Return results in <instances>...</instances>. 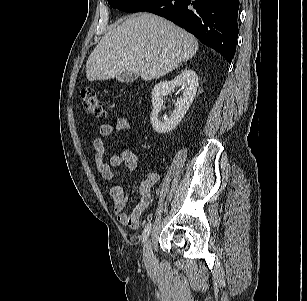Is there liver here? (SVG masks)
I'll list each match as a JSON object with an SVG mask.
<instances>
[{"label":"liver","instance_id":"1","mask_svg":"<svg viewBox=\"0 0 307 301\" xmlns=\"http://www.w3.org/2000/svg\"><path fill=\"white\" fill-rule=\"evenodd\" d=\"M197 50L198 41L192 34L157 15L138 13L105 33L88 57L86 77L108 80L132 72L144 81L159 79Z\"/></svg>","mask_w":307,"mask_h":301}]
</instances>
